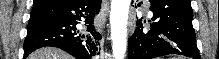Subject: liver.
<instances>
[{"mask_svg":"<svg viewBox=\"0 0 219 59\" xmlns=\"http://www.w3.org/2000/svg\"><path fill=\"white\" fill-rule=\"evenodd\" d=\"M27 59H73L72 56L67 54L66 52L57 49L45 47L36 50L31 53Z\"/></svg>","mask_w":219,"mask_h":59,"instance_id":"obj_1","label":"liver"}]
</instances>
